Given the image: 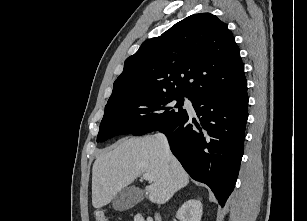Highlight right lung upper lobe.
Listing matches in <instances>:
<instances>
[{
  "label": "right lung upper lobe",
  "instance_id": "cb5924a9",
  "mask_svg": "<svg viewBox=\"0 0 307 221\" xmlns=\"http://www.w3.org/2000/svg\"><path fill=\"white\" fill-rule=\"evenodd\" d=\"M246 83L239 48L227 25L210 13L191 15L143 42L125 61L108 103L145 93L195 100Z\"/></svg>",
  "mask_w": 307,
  "mask_h": 221
}]
</instances>
